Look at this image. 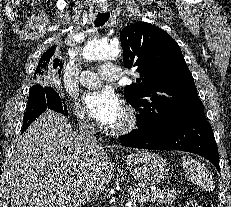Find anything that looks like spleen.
<instances>
[{"label": "spleen", "instance_id": "spleen-1", "mask_svg": "<svg viewBox=\"0 0 231 207\" xmlns=\"http://www.w3.org/2000/svg\"><path fill=\"white\" fill-rule=\"evenodd\" d=\"M182 166L186 175L194 184L205 190H210L214 187V182L209 178L208 171L201 165L200 162L193 158L183 156Z\"/></svg>", "mask_w": 231, "mask_h": 207}]
</instances>
